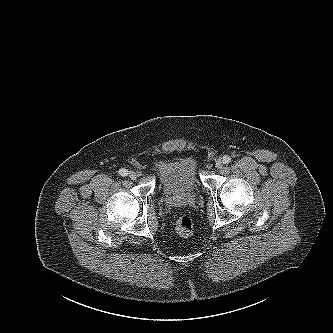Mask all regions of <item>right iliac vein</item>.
<instances>
[{"instance_id": "right-iliac-vein-1", "label": "right iliac vein", "mask_w": 333, "mask_h": 333, "mask_svg": "<svg viewBox=\"0 0 333 333\" xmlns=\"http://www.w3.org/2000/svg\"><path fill=\"white\" fill-rule=\"evenodd\" d=\"M128 175L132 180H135L137 178V174L134 171H130Z\"/></svg>"}]
</instances>
